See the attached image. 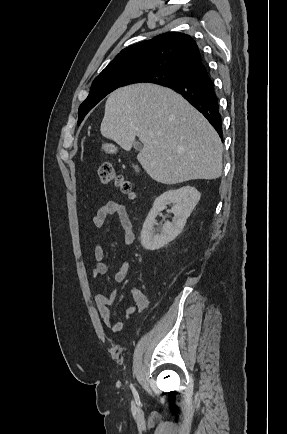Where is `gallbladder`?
Returning a JSON list of instances; mask_svg holds the SVG:
<instances>
[{
    "instance_id": "obj_1",
    "label": "gallbladder",
    "mask_w": 287,
    "mask_h": 434,
    "mask_svg": "<svg viewBox=\"0 0 287 434\" xmlns=\"http://www.w3.org/2000/svg\"><path fill=\"white\" fill-rule=\"evenodd\" d=\"M134 147L136 148V149H141V144L140 143H134Z\"/></svg>"
}]
</instances>
